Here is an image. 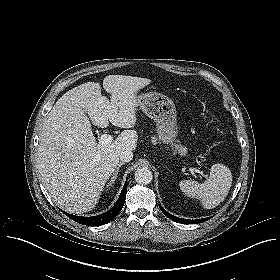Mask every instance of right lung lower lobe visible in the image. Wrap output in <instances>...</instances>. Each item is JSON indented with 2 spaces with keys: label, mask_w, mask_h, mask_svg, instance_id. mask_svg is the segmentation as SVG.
Returning a JSON list of instances; mask_svg holds the SVG:
<instances>
[{
  "label": "right lung lower lobe",
  "mask_w": 280,
  "mask_h": 280,
  "mask_svg": "<svg viewBox=\"0 0 280 280\" xmlns=\"http://www.w3.org/2000/svg\"><path fill=\"white\" fill-rule=\"evenodd\" d=\"M126 182L124 184V187L121 191V194H120L116 204L106 213H103V214L97 215V216H93V217H82V216L71 215V214H68L65 212L64 213L68 217H70L72 220L76 221L77 223L84 224L87 226H99V225H103L107 222H110L118 215V213L121 211V209L125 203V197H126V193H127Z\"/></svg>",
  "instance_id": "obj_1"
}]
</instances>
